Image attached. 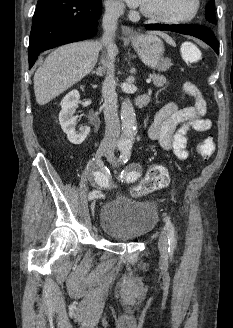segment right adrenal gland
Wrapping results in <instances>:
<instances>
[{
    "label": "right adrenal gland",
    "instance_id": "1",
    "mask_svg": "<svg viewBox=\"0 0 233 328\" xmlns=\"http://www.w3.org/2000/svg\"><path fill=\"white\" fill-rule=\"evenodd\" d=\"M91 73L101 77L104 74V67L100 66L96 71H92Z\"/></svg>",
    "mask_w": 233,
    "mask_h": 328
}]
</instances>
